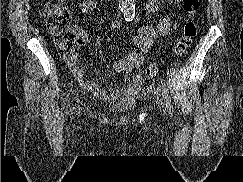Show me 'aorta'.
<instances>
[{
  "mask_svg": "<svg viewBox=\"0 0 243 182\" xmlns=\"http://www.w3.org/2000/svg\"><path fill=\"white\" fill-rule=\"evenodd\" d=\"M136 0H118L119 8L126 20H132L135 15Z\"/></svg>",
  "mask_w": 243,
  "mask_h": 182,
  "instance_id": "1",
  "label": "aorta"
}]
</instances>
